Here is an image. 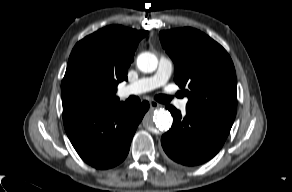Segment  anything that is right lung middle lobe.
Masks as SVG:
<instances>
[{"label": "right lung middle lobe", "instance_id": "right-lung-middle-lobe-1", "mask_svg": "<svg viewBox=\"0 0 292 192\" xmlns=\"http://www.w3.org/2000/svg\"><path fill=\"white\" fill-rule=\"evenodd\" d=\"M101 91L100 85L89 76H72L64 89V98L72 107H91Z\"/></svg>", "mask_w": 292, "mask_h": 192}]
</instances>
